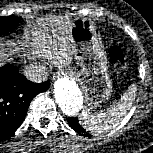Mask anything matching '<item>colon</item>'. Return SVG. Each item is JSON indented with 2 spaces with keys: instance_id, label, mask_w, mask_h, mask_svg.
<instances>
[{
  "instance_id": "1",
  "label": "colon",
  "mask_w": 153,
  "mask_h": 153,
  "mask_svg": "<svg viewBox=\"0 0 153 153\" xmlns=\"http://www.w3.org/2000/svg\"><path fill=\"white\" fill-rule=\"evenodd\" d=\"M109 60L117 71L124 72L127 69L128 63L126 57L118 46H112L109 49Z\"/></svg>"
}]
</instances>
